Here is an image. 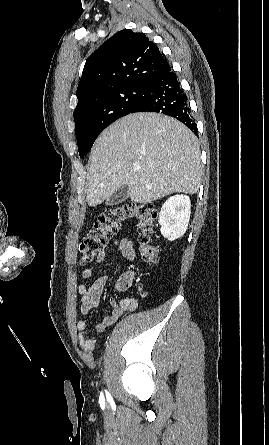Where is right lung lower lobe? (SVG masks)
<instances>
[{
    "mask_svg": "<svg viewBox=\"0 0 269 445\" xmlns=\"http://www.w3.org/2000/svg\"><path fill=\"white\" fill-rule=\"evenodd\" d=\"M147 85L148 92L131 113H163L178 119L194 134H197L196 123L192 118L187 96L169 64L157 73Z\"/></svg>",
    "mask_w": 269,
    "mask_h": 445,
    "instance_id": "right-lung-lower-lobe-1",
    "label": "right lung lower lobe"
}]
</instances>
